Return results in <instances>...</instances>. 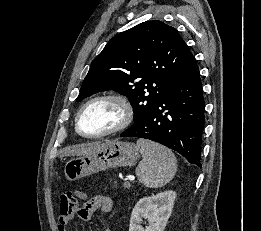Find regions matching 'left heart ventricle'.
Masks as SVG:
<instances>
[{"label": "left heart ventricle", "instance_id": "obj_1", "mask_svg": "<svg viewBox=\"0 0 261 231\" xmlns=\"http://www.w3.org/2000/svg\"><path fill=\"white\" fill-rule=\"evenodd\" d=\"M122 120L120 106L110 100L88 106L80 117V128L85 134H99L116 127Z\"/></svg>", "mask_w": 261, "mask_h": 231}]
</instances>
